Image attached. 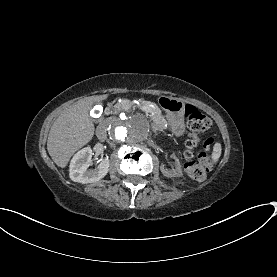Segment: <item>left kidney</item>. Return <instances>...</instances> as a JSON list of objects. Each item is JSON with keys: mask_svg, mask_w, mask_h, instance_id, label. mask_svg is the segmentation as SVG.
<instances>
[{"mask_svg": "<svg viewBox=\"0 0 277 277\" xmlns=\"http://www.w3.org/2000/svg\"><path fill=\"white\" fill-rule=\"evenodd\" d=\"M174 160H175V163H176V167L173 168L172 170H165L163 165L160 167L161 169V172L163 173L164 176L166 177H178V176H181V165H180V162L178 160V158L176 156H173Z\"/></svg>", "mask_w": 277, "mask_h": 277, "instance_id": "left-kidney-1", "label": "left kidney"}]
</instances>
